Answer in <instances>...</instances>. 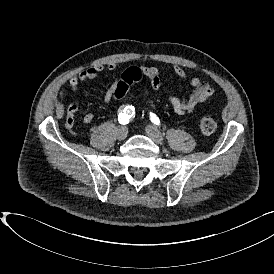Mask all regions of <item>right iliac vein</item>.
Returning <instances> with one entry per match:
<instances>
[{"label":"right iliac vein","instance_id":"63e3f726","mask_svg":"<svg viewBox=\"0 0 274 274\" xmlns=\"http://www.w3.org/2000/svg\"><path fill=\"white\" fill-rule=\"evenodd\" d=\"M127 134H128L127 127L125 126L121 127L117 132L118 140H124L127 137Z\"/></svg>","mask_w":274,"mask_h":274}]
</instances>
